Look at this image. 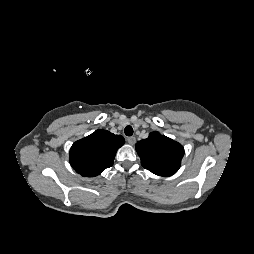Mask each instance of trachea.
<instances>
[{
	"mask_svg": "<svg viewBox=\"0 0 254 254\" xmlns=\"http://www.w3.org/2000/svg\"><path fill=\"white\" fill-rule=\"evenodd\" d=\"M124 133L126 136H132L133 135V128L130 125L126 126L124 129Z\"/></svg>",
	"mask_w": 254,
	"mask_h": 254,
	"instance_id": "1",
	"label": "trachea"
}]
</instances>
